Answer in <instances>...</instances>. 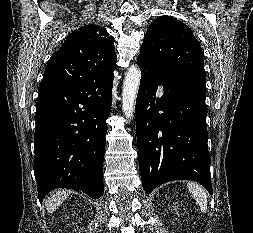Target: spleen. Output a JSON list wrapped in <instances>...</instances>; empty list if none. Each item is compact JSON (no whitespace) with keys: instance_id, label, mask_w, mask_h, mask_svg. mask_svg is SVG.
<instances>
[{"instance_id":"3e777b00","label":"spleen","mask_w":253,"mask_h":233,"mask_svg":"<svg viewBox=\"0 0 253 233\" xmlns=\"http://www.w3.org/2000/svg\"><path fill=\"white\" fill-rule=\"evenodd\" d=\"M187 188L196 202L199 204L200 209L203 213L207 212V195L205 190L198 184L189 182Z\"/></svg>"}]
</instances>
